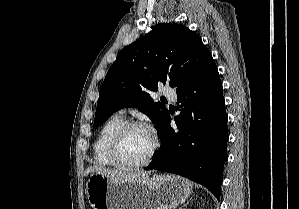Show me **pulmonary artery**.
<instances>
[{"label":"pulmonary artery","mask_w":299,"mask_h":209,"mask_svg":"<svg viewBox=\"0 0 299 209\" xmlns=\"http://www.w3.org/2000/svg\"><path fill=\"white\" fill-rule=\"evenodd\" d=\"M162 94L170 100H175L176 99V92L171 88H168V87L163 88L162 89Z\"/></svg>","instance_id":"obj_1"}]
</instances>
